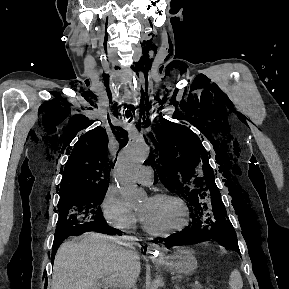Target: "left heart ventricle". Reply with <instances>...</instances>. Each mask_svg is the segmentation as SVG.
<instances>
[{
	"label": "left heart ventricle",
	"mask_w": 289,
	"mask_h": 289,
	"mask_svg": "<svg viewBox=\"0 0 289 289\" xmlns=\"http://www.w3.org/2000/svg\"><path fill=\"white\" fill-rule=\"evenodd\" d=\"M138 212L152 229L160 232L179 228L185 221L182 207L169 199L147 198L141 203Z\"/></svg>",
	"instance_id": "1"
}]
</instances>
